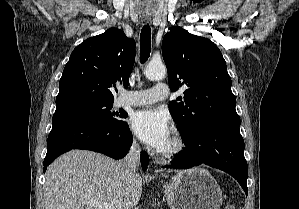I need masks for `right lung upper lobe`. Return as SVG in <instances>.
Wrapping results in <instances>:
<instances>
[{
  "instance_id": "1",
  "label": "right lung upper lobe",
  "mask_w": 299,
  "mask_h": 209,
  "mask_svg": "<svg viewBox=\"0 0 299 209\" xmlns=\"http://www.w3.org/2000/svg\"><path fill=\"white\" fill-rule=\"evenodd\" d=\"M135 60V41L111 28L82 42L71 53L59 82L56 105L113 102L117 84L128 87Z\"/></svg>"
}]
</instances>
